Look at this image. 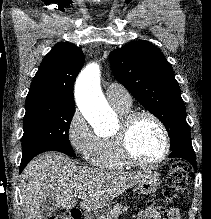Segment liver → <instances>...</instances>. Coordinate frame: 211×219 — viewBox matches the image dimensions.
<instances>
[{"instance_id": "6515ba94", "label": "liver", "mask_w": 211, "mask_h": 219, "mask_svg": "<svg viewBox=\"0 0 211 219\" xmlns=\"http://www.w3.org/2000/svg\"><path fill=\"white\" fill-rule=\"evenodd\" d=\"M149 171L124 172L75 165L67 156L47 152L35 157L21 174L22 206L26 219H42L41 204L53 199L58 208L69 210L77 195L88 196L83 210H96L136 185Z\"/></svg>"}]
</instances>
